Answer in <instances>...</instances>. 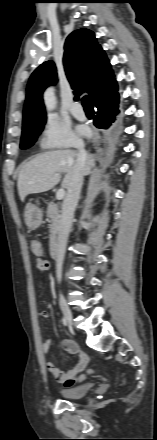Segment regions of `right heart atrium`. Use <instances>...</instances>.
Segmentation results:
<instances>
[{
	"label": "right heart atrium",
	"instance_id": "d8ad5b80",
	"mask_svg": "<svg viewBox=\"0 0 157 440\" xmlns=\"http://www.w3.org/2000/svg\"><path fill=\"white\" fill-rule=\"evenodd\" d=\"M81 142L68 121L55 115H49L45 119L40 140L43 148H69L78 146Z\"/></svg>",
	"mask_w": 157,
	"mask_h": 440
}]
</instances>
